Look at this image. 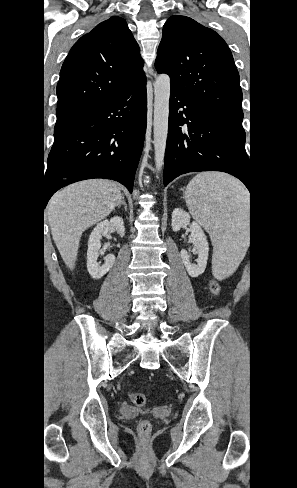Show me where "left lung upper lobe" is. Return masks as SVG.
<instances>
[{"label":"left lung upper lobe","mask_w":297,"mask_h":488,"mask_svg":"<svg viewBox=\"0 0 297 488\" xmlns=\"http://www.w3.org/2000/svg\"><path fill=\"white\" fill-rule=\"evenodd\" d=\"M155 67L171 90L198 107L242 126L239 73L226 42L195 20L174 15L163 27Z\"/></svg>","instance_id":"obj_1"}]
</instances>
